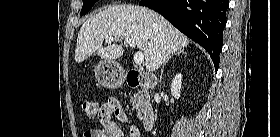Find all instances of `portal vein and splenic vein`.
<instances>
[{
  "mask_svg": "<svg viewBox=\"0 0 280 137\" xmlns=\"http://www.w3.org/2000/svg\"><path fill=\"white\" fill-rule=\"evenodd\" d=\"M114 39H115V38H113V37H108V38H106V42H111V41H113ZM123 39L126 41V43L129 44L130 47H132V48H135V47H136V43H135L134 40H132V39H130V38H128V37H125V38H123ZM134 62H135L137 65H142L143 62H144V54H143L142 52H140V51H137V52L134 54Z\"/></svg>",
  "mask_w": 280,
  "mask_h": 137,
  "instance_id": "obj_1",
  "label": "portal vein and splenic vein"
}]
</instances>
